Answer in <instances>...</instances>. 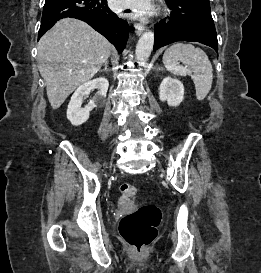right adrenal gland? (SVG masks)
Instances as JSON below:
<instances>
[{"label": "right adrenal gland", "instance_id": "obj_1", "mask_svg": "<svg viewBox=\"0 0 261 273\" xmlns=\"http://www.w3.org/2000/svg\"><path fill=\"white\" fill-rule=\"evenodd\" d=\"M107 66H108V61H106V62L104 63V69H103L102 71H107V70H108Z\"/></svg>", "mask_w": 261, "mask_h": 273}]
</instances>
